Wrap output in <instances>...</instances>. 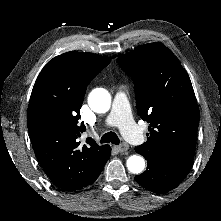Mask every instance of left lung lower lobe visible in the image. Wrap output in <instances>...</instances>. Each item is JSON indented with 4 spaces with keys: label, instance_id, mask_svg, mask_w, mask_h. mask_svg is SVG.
<instances>
[{
    "label": "left lung lower lobe",
    "instance_id": "obj_1",
    "mask_svg": "<svg viewBox=\"0 0 221 221\" xmlns=\"http://www.w3.org/2000/svg\"><path fill=\"white\" fill-rule=\"evenodd\" d=\"M135 150L143 155L139 150ZM144 157L148 163L147 170L135 176V180L144 188L155 193L163 194L176 188L191 169V163L163 157Z\"/></svg>",
    "mask_w": 221,
    "mask_h": 221
}]
</instances>
